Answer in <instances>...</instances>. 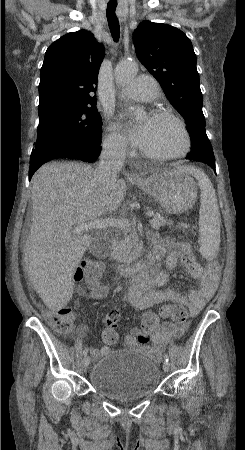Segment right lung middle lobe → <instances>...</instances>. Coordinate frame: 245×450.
<instances>
[{
  "instance_id": "obj_1",
  "label": "right lung middle lobe",
  "mask_w": 245,
  "mask_h": 450,
  "mask_svg": "<svg viewBox=\"0 0 245 450\" xmlns=\"http://www.w3.org/2000/svg\"><path fill=\"white\" fill-rule=\"evenodd\" d=\"M40 122L32 155L100 145L101 116L95 105L56 103L38 109Z\"/></svg>"
}]
</instances>
